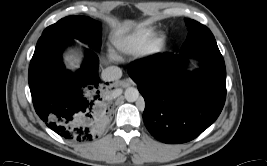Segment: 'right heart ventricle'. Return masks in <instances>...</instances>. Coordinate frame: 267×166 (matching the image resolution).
Masks as SVG:
<instances>
[{"mask_svg": "<svg viewBox=\"0 0 267 166\" xmlns=\"http://www.w3.org/2000/svg\"><path fill=\"white\" fill-rule=\"evenodd\" d=\"M155 31L156 27L154 26L140 25L132 33L115 38L113 44L121 52L135 53L147 44Z\"/></svg>", "mask_w": 267, "mask_h": 166, "instance_id": "right-heart-ventricle-1", "label": "right heart ventricle"}]
</instances>
